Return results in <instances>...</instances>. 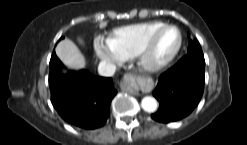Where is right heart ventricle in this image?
Masks as SVG:
<instances>
[{
  "label": "right heart ventricle",
  "instance_id": "obj_1",
  "mask_svg": "<svg viewBox=\"0 0 247 145\" xmlns=\"http://www.w3.org/2000/svg\"><path fill=\"white\" fill-rule=\"evenodd\" d=\"M163 24L159 21H151L124 26L112 31L107 42L123 59L133 58L149 35Z\"/></svg>",
  "mask_w": 247,
  "mask_h": 145
}]
</instances>
